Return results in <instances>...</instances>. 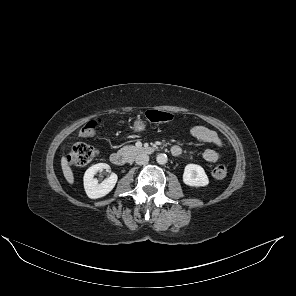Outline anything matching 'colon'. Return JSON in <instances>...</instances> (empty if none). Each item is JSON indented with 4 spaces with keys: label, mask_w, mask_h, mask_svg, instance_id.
<instances>
[{
    "label": "colon",
    "mask_w": 296,
    "mask_h": 296,
    "mask_svg": "<svg viewBox=\"0 0 296 296\" xmlns=\"http://www.w3.org/2000/svg\"><path fill=\"white\" fill-rule=\"evenodd\" d=\"M145 117L152 123H165L173 120V114L166 111L148 110ZM99 120L89 121L80 131V136L84 138L94 137L97 133ZM97 151L93 146L83 142H77L67 155V163L70 166L81 167L89 164L96 157ZM212 174L217 179H222L227 174V169L224 165L214 167Z\"/></svg>",
    "instance_id": "5ec220e1"
}]
</instances>
